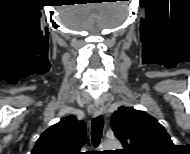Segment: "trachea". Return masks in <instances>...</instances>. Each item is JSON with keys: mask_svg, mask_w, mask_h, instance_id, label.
Returning a JSON list of instances; mask_svg holds the SVG:
<instances>
[{"mask_svg": "<svg viewBox=\"0 0 190 154\" xmlns=\"http://www.w3.org/2000/svg\"><path fill=\"white\" fill-rule=\"evenodd\" d=\"M103 131V118L102 116H98L93 119L92 121V127H91V136H92V142L94 147H97L99 145L101 136ZM97 152V151H93Z\"/></svg>", "mask_w": 190, "mask_h": 154, "instance_id": "3493384b", "label": "trachea"}]
</instances>
